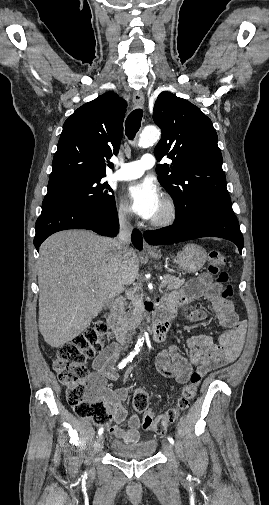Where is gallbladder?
<instances>
[{
    "label": "gallbladder",
    "mask_w": 269,
    "mask_h": 505,
    "mask_svg": "<svg viewBox=\"0 0 269 505\" xmlns=\"http://www.w3.org/2000/svg\"><path fill=\"white\" fill-rule=\"evenodd\" d=\"M106 306H107V307H110V304H107Z\"/></svg>",
    "instance_id": "bac80fb5"
}]
</instances>
